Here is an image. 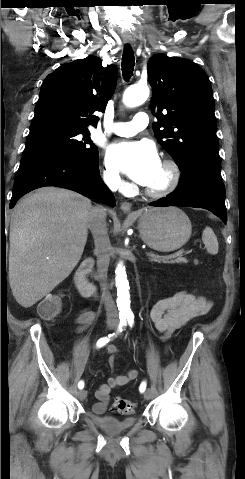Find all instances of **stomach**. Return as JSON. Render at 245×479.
I'll use <instances>...</instances> for the list:
<instances>
[{
    "label": "stomach",
    "instance_id": "stomach-1",
    "mask_svg": "<svg viewBox=\"0 0 245 479\" xmlns=\"http://www.w3.org/2000/svg\"><path fill=\"white\" fill-rule=\"evenodd\" d=\"M138 227L143 242L160 252L182 247L190 238L192 225L179 208H148L138 214Z\"/></svg>",
    "mask_w": 245,
    "mask_h": 479
}]
</instances>
